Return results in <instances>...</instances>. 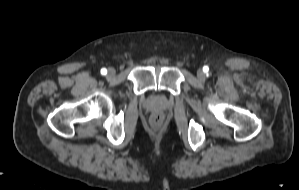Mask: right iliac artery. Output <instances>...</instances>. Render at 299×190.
<instances>
[{
  "instance_id": "1",
  "label": "right iliac artery",
  "mask_w": 299,
  "mask_h": 190,
  "mask_svg": "<svg viewBox=\"0 0 299 190\" xmlns=\"http://www.w3.org/2000/svg\"><path fill=\"white\" fill-rule=\"evenodd\" d=\"M101 74H102V75H106V74H107V70H106V68H102V69H101Z\"/></svg>"
}]
</instances>
